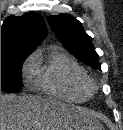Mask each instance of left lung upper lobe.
<instances>
[{
    "label": "left lung upper lobe",
    "mask_w": 123,
    "mask_h": 130,
    "mask_svg": "<svg viewBox=\"0 0 123 130\" xmlns=\"http://www.w3.org/2000/svg\"><path fill=\"white\" fill-rule=\"evenodd\" d=\"M47 21L59 41L84 64L101 69L91 37L86 34L81 23L69 14L49 16Z\"/></svg>",
    "instance_id": "1"
}]
</instances>
